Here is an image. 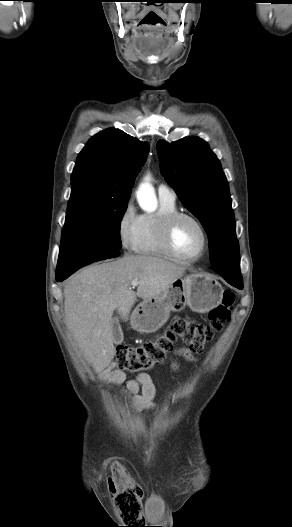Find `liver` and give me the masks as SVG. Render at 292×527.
Here are the masks:
<instances>
[{"instance_id": "obj_1", "label": "liver", "mask_w": 292, "mask_h": 527, "mask_svg": "<svg viewBox=\"0 0 292 527\" xmlns=\"http://www.w3.org/2000/svg\"><path fill=\"white\" fill-rule=\"evenodd\" d=\"M185 271L161 258L125 255L90 265L66 281L65 323L96 372L108 367L115 355L113 312L126 320L136 297L148 300L167 292ZM133 280L139 281L136 292L131 288Z\"/></svg>"}]
</instances>
